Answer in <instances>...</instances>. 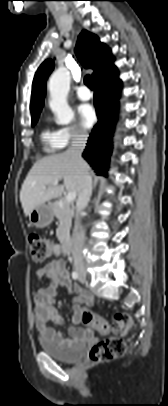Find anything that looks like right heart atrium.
<instances>
[{
    "label": "right heart atrium",
    "mask_w": 168,
    "mask_h": 406,
    "mask_svg": "<svg viewBox=\"0 0 168 406\" xmlns=\"http://www.w3.org/2000/svg\"><path fill=\"white\" fill-rule=\"evenodd\" d=\"M59 136L64 143L68 145L70 143H76L86 140L88 137L87 132L79 126H67L59 129Z\"/></svg>",
    "instance_id": "obj_1"
}]
</instances>
